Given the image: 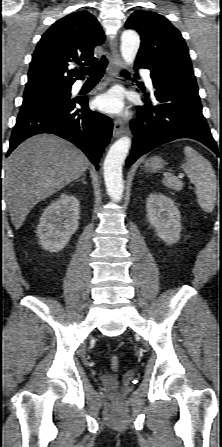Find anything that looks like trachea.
I'll list each match as a JSON object with an SVG mask.
<instances>
[{
    "instance_id": "trachea-1",
    "label": "trachea",
    "mask_w": 222,
    "mask_h": 447,
    "mask_svg": "<svg viewBox=\"0 0 222 447\" xmlns=\"http://www.w3.org/2000/svg\"><path fill=\"white\" fill-rule=\"evenodd\" d=\"M108 64V60L105 57H102L98 64L94 67H81L78 71L84 75H88L89 78H101L103 72ZM121 74L125 77H129L130 74L123 70Z\"/></svg>"
}]
</instances>
